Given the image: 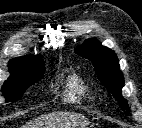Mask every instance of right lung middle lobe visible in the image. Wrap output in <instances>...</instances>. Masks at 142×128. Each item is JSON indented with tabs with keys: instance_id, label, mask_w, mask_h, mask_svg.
I'll return each mask as SVG.
<instances>
[{
	"instance_id": "1",
	"label": "right lung middle lobe",
	"mask_w": 142,
	"mask_h": 128,
	"mask_svg": "<svg viewBox=\"0 0 142 128\" xmlns=\"http://www.w3.org/2000/svg\"><path fill=\"white\" fill-rule=\"evenodd\" d=\"M43 75L44 63H40L28 69L20 77L7 80L2 87L7 102L20 99L28 87L41 80Z\"/></svg>"
}]
</instances>
